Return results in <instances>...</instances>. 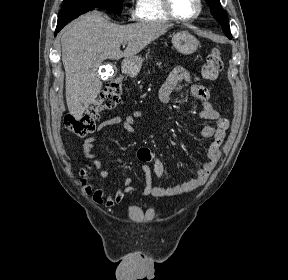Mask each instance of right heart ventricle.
I'll list each match as a JSON object with an SVG mask.
<instances>
[{
  "label": "right heart ventricle",
  "instance_id": "1",
  "mask_svg": "<svg viewBox=\"0 0 288 280\" xmlns=\"http://www.w3.org/2000/svg\"><path fill=\"white\" fill-rule=\"evenodd\" d=\"M135 16L143 22L166 23L171 20L166 15L161 0H137Z\"/></svg>",
  "mask_w": 288,
  "mask_h": 280
}]
</instances>
